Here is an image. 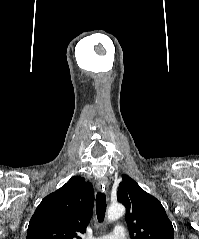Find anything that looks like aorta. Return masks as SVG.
<instances>
[{"label":"aorta","instance_id":"aorta-1","mask_svg":"<svg viewBox=\"0 0 199 239\" xmlns=\"http://www.w3.org/2000/svg\"><path fill=\"white\" fill-rule=\"evenodd\" d=\"M125 213V207L122 204H111L107 211V219L109 221H115L122 217Z\"/></svg>","mask_w":199,"mask_h":239}]
</instances>
